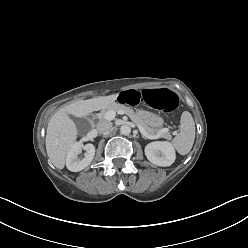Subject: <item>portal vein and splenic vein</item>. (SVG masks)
<instances>
[{
    "instance_id": "18ae733b",
    "label": "portal vein and splenic vein",
    "mask_w": 248,
    "mask_h": 248,
    "mask_svg": "<svg viewBox=\"0 0 248 248\" xmlns=\"http://www.w3.org/2000/svg\"><path fill=\"white\" fill-rule=\"evenodd\" d=\"M118 114H125L124 111L120 110L117 112ZM115 115H116V112L115 111H108L105 115H104V119L108 120V121H111L115 118ZM140 132L147 135L149 138H160L162 137V134L163 133H166V132H169V129L168 128H163V129H160L159 132L156 134V135H149L140 125H137ZM173 134H176L175 132H173Z\"/></svg>"
}]
</instances>
